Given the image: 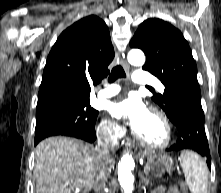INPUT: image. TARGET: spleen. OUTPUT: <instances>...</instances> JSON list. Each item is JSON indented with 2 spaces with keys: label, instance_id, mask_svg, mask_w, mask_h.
Instances as JSON below:
<instances>
[{
  "label": "spleen",
  "instance_id": "spleen-1",
  "mask_svg": "<svg viewBox=\"0 0 221 193\" xmlns=\"http://www.w3.org/2000/svg\"><path fill=\"white\" fill-rule=\"evenodd\" d=\"M181 167L187 185L192 193H207L208 168L206 163L194 152H181Z\"/></svg>",
  "mask_w": 221,
  "mask_h": 193
}]
</instances>
